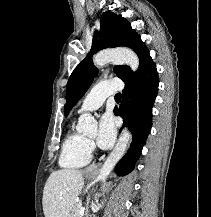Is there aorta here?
<instances>
[{
    "mask_svg": "<svg viewBox=\"0 0 211 217\" xmlns=\"http://www.w3.org/2000/svg\"><path fill=\"white\" fill-rule=\"evenodd\" d=\"M93 61L97 67H102L108 62H112L115 64H127L130 66L132 71H136L139 67V58L137 57V55L130 49L126 48L102 51L95 55ZM96 127V121L94 117H92L90 114H83L80 116L78 120L79 131L85 134H91L95 132ZM130 137V132L127 128H124L121 132L118 143L116 144L115 148L110 153V155L108 156V158L106 159V161L100 169L98 176L99 180H106V178L111 173L116 163L125 153Z\"/></svg>",
    "mask_w": 211,
    "mask_h": 217,
    "instance_id": "aorta-1",
    "label": "aorta"
}]
</instances>
